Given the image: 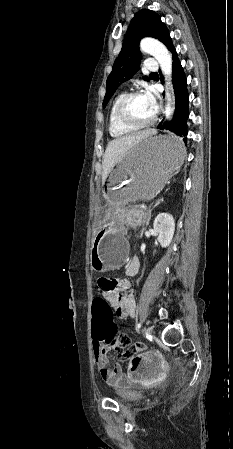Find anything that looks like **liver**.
<instances>
[{
  "label": "liver",
  "mask_w": 233,
  "mask_h": 449,
  "mask_svg": "<svg viewBox=\"0 0 233 449\" xmlns=\"http://www.w3.org/2000/svg\"><path fill=\"white\" fill-rule=\"evenodd\" d=\"M156 132L155 129H147L137 133H126L125 136L116 138L108 143L103 159L102 183H105L110 171L122 161L132 147L143 139L156 134Z\"/></svg>",
  "instance_id": "obj_1"
}]
</instances>
